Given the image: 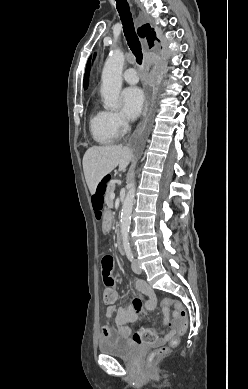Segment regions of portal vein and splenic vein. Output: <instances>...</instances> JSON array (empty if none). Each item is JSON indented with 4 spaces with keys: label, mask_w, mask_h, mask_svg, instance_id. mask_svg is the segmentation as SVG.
<instances>
[{
    "label": "portal vein and splenic vein",
    "mask_w": 248,
    "mask_h": 389,
    "mask_svg": "<svg viewBox=\"0 0 248 389\" xmlns=\"http://www.w3.org/2000/svg\"><path fill=\"white\" fill-rule=\"evenodd\" d=\"M114 198H115V194L112 193V194H111V199L113 200Z\"/></svg>",
    "instance_id": "18ae733b"
}]
</instances>
